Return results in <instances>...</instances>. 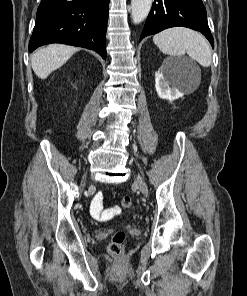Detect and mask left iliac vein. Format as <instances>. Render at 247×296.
I'll return each mask as SVG.
<instances>
[{"label":"left iliac vein","instance_id":"obj_1","mask_svg":"<svg viewBox=\"0 0 247 296\" xmlns=\"http://www.w3.org/2000/svg\"><path fill=\"white\" fill-rule=\"evenodd\" d=\"M135 184L138 186V188L141 190V192L145 195H148V188L146 183L140 178L137 177L135 180Z\"/></svg>","mask_w":247,"mask_h":296}]
</instances>
